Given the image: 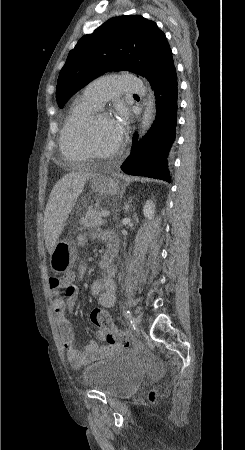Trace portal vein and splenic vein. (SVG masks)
Here are the masks:
<instances>
[{"mask_svg": "<svg viewBox=\"0 0 245 450\" xmlns=\"http://www.w3.org/2000/svg\"><path fill=\"white\" fill-rule=\"evenodd\" d=\"M100 215H101L102 217H109V216H110V212H109V211H102V212L100 213Z\"/></svg>", "mask_w": 245, "mask_h": 450, "instance_id": "obj_1", "label": "portal vein and splenic vein"}]
</instances>
